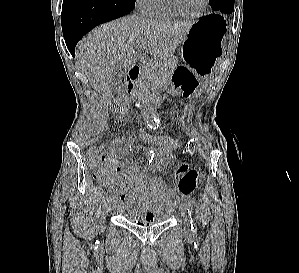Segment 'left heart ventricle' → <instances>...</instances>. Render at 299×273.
I'll return each mask as SVG.
<instances>
[{"mask_svg": "<svg viewBox=\"0 0 299 273\" xmlns=\"http://www.w3.org/2000/svg\"><path fill=\"white\" fill-rule=\"evenodd\" d=\"M178 5L187 13L198 12L202 5L203 0H176Z\"/></svg>", "mask_w": 299, "mask_h": 273, "instance_id": "left-heart-ventricle-1", "label": "left heart ventricle"}]
</instances>
